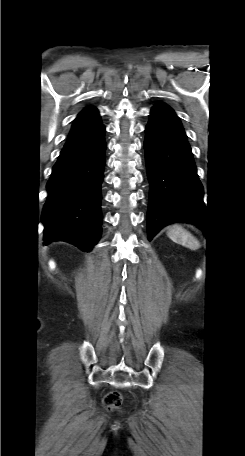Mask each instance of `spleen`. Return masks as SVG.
<instances>
[{
  "instance_id": "obj_1",
  "label": "spleen",
  "mask_w": 245,
  "mask_h": 456,
  "mask_svg": "<svg viewBox=\"0 0 245 456\" xmlns=\"http://www.w3.org/2000/svg\"><path fill=\"white\" fill-rule=\"evenodd\" d=\"M167 235L174 242L181 243L183 246H186L192 250H195L199 247L198 240L191 233L179 225H173L170 227Z\"/></svg>"
}]
</instances>
